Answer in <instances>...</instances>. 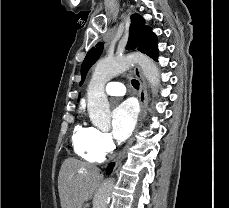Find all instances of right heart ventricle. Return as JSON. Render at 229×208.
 <instances>
[{
  "label": "right heart ventricle",
  "mask_w": 229,
  "mask_h": 208,
  "mask_svg": "<svg viewBox=\"0 0 229 208\" xmlns=\"http://www.w3.org/2000/svg\"><path fill=\"white\" fill-rule=\"evenodd\" d=\"M96 77V75L94 76ZM95 128L84 127L81 124L75 126L72 134V147L74 152L82 159L96 162L103 158L93 144Z\"/></svg>",
  "instance_id": "obj_1"
}]
</instances>
